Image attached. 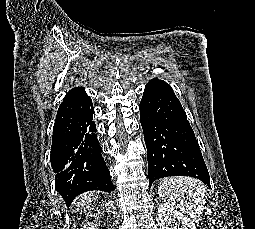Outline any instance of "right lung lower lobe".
Instances as JSON below:
<instances>
[{"label":"right lung lower lobe","instance_id":"right-lung-lower-lobe-1","mask_svg":"<svg viewBox=\"0 0 255 229\" xmlns=\"http://www.w3.org/2000/svg\"><path fill=\"white\" fill-rule=\"evenodd\" d=\"M94 108L84 88L70 90L60 104L52 137L51 165L55 188L70 204L81 193H111L114 185L102 157L93 121Z\"/></svg>","mask_w":255,"mask_h":229}]
</instances>
